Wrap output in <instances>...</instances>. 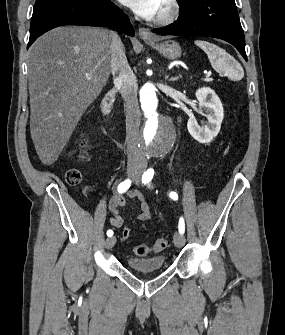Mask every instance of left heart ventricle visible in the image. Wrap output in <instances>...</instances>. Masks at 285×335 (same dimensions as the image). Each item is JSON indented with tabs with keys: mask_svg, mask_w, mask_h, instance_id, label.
<instances>
[{
	"mask_svg": "<svg viewBox=\"0 0 285 335\" xmlns=\"http://www.w3.org/2000/svg\"><path fill=\"white\" fill-rule=\"evenodd\" d=\"M158 2H159V5H160V8H161V5H162L163 1H158Z\"/></svg>",
	"mask_w": 285,
	"mask_h": 335,
	"instance_id": "obj_1",
	"label": "left heart ventricle"
}]
</instances>
